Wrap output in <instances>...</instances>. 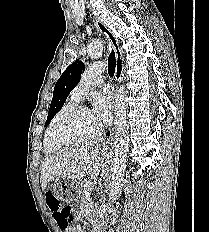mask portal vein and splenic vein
<instances>
[{
  "label": "portal vein and splenic vein",
  "mask_w": 209,
  "mask_h": 232,
  "mask_svg": "<svg viewBox=\"0 0 209 232\" xmlns=\"http://www.w3.org/2000/svg\"><path fill=\"white\" fill-rule=\"evenodd\" d=\"M83 195H84L85 199H89L90 198V192L89 191L85 192Z\"/></svg>",
  "instance_id": "portal-vein-and-splenic-vein-1"
}]
</instances>
